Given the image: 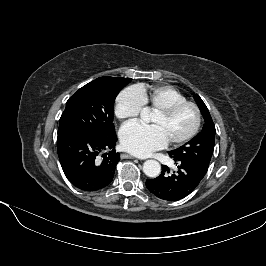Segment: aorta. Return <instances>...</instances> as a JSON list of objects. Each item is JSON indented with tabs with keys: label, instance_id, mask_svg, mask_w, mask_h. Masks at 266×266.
<instances>
[{
	"label": "aorta",
	"instance_id": "aorta-1",
	"mask_svg": "<svg viewBox=\"0 0 266 266\" xmlns=\"http://www.w3.org/2000/svg\"><path fill=\"white\" fill-rule=\"evenodd\" d=\"M141 119L145 122L149 121L150 111L147 108L141 111ZM143 172L146 176L155 178L161 173V165L156 160H147L143 164Z\"/></svg>",
	"mask_w": 266,
	"mask_h": 266
}]
</instances>
